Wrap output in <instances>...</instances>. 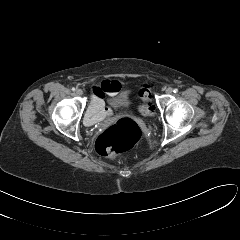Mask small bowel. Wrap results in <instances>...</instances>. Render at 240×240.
Masks as SVG:
<instances>
[{
  "mask_svg": "<svg viewBox=\"0 0 240 240\" xmlns=\"http://www.w3.org/2000/svg\"><path fill=\"white\" fill-rule=\"evenodd\" d=\"M121 84L115 80H105L98 86H93V95L90 106L85 115L87 125H95L103 119L109 118L112 114L110 108L105 107L104 99L113 96L121 89Z\"/></svg>",
  "mask_w": 240,
  "mask_h": 240,
  "instance_id": "small-bowel-1",
  "label": "small bowel"
}]
</instances>
